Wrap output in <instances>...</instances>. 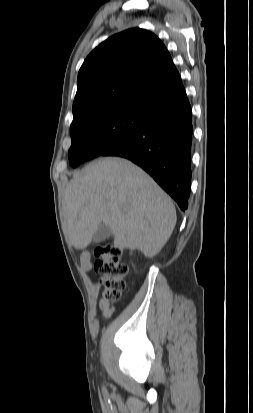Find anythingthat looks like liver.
<instances>
[{"label":"liver","mask_w":253,"mask_h":413,"mask_svg":"<svg viewBox=\"0 0 253 413\" xmlns=\"http://www.w3.org/2000/svg\"><path fill=\"white\" fill-rule=\"evenodd\" d=\"M71 244L85 249L101 223L110 226L114 247L157 255L171 236L176 210L170 197L132 162L98 159L76 174L64 194Z\"/></svg>","instance_id":"liver-1"}]
</instances>
